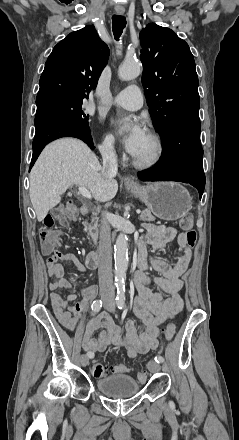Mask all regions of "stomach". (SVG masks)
I'll return each mask as SVG.
<instances>
[{"instance_id": "stomach-1", "label": "stomach", "mask_w": 239, "mask_h": 440, "mask_svg": "<svg viewBox=\"0 0 239 440\" xmlns=\"http://www.w3.org/2000/svg\"><path fill=\"white\" fill-rule=\"evenodd\" d=\"M126 188L161 220H179L192 208L188 190L178 182H154L139 188Z\"/></svg>"}]
</instances>
